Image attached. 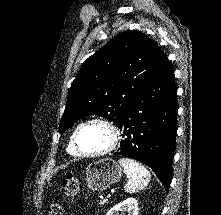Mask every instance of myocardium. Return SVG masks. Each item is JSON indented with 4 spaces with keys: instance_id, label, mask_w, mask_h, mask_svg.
I'll return each mask as SVG.
<instances>
[{
    "instance_id": "myocardium-1",
    "label": "myocardium",
    "mask_w": 221,
    "mask_h": 215,
    "mask_svg": "<svg viewBox=\"0 0 221 215\" xmlns=\"http://www.w3.org/2000/svg\"><path fill=\"white\" fill-rule=\"evenodd\" d=\"M90 124H100V125L104 126L107 129L109 136H110V142H109L108 146L105 149H103L99 152H95V153L83 152L78 146V135H79L80 131L84 127H86L87 125H90ZM119 139H120L119 130H118L117 126L112 121H110L106 118H102V117H95V118L88 119L77 126V128L75 129V131L73 133L72 143H73L74 150L76 151V153L79 156L87 157V158H95V157L104 156V155L112 152L117 147V145L119 143Z\"/></svg>"
}]
</instances>
